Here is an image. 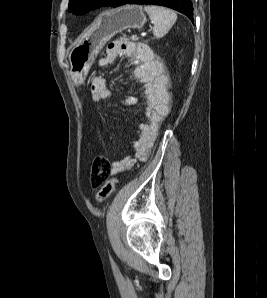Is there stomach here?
I'll return each instance as SVG.
<instances>
[{
	"label": "stomach",
	"mask_w": 267,
	"mask_h": 298,
	"mask_svg": "<svg viewBox=\"0 0 267 298\" xmlns=\"http://www.w3.org/2000/svg\"><path fill=\"white\" fill-rule=\"evenodd\" d=\"M146 16L139 5H125L103 13L90 35L78 43L69 54L70 74L77 85H81L95 58L116 33L126 29H140Z\"/></svg>",
	"instance_id": "1"
}]
</instances>
